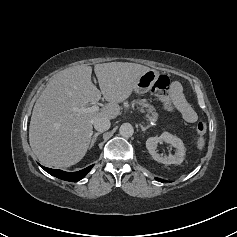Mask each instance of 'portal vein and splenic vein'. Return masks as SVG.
Listing matches in <instances>:
<instances>
[{
  "mask_svg": "<svg viewBox=\"0 0 237 237\" xmlns=\"http://www.w3.org/2000/svg\"><path fill=\"white\" fill-rule=\"evenodd\" d=\"M74 111L78 114L91 113L99 111V106L93 105L91 107L75 108Z\"/></svg>",
  "mask_w": 237,
  "mask_h": 237,
  "instance_id": "1",
  "label": "portal vein and splenic vein"
}]
</instances>
